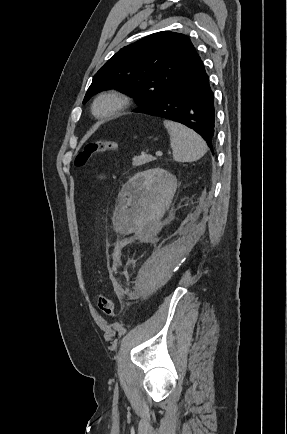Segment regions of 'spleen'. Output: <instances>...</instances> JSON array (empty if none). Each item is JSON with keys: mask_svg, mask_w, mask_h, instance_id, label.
Masks as SVG:
<instances>
[{"mask_svg": "<svg viewBox=\"0 0 287 434\" xmlns=\"http://www.w3.org/2000/svg\"><path fill=\"white\" fill-rule=\"evenodd\" d=\"M170 135L173 159L177 162H191L203 157L207 145L200 135L180 123L165 120Z\"/></svg>", "mask_w": 287, "mask_h": 434, "instance_id": "1", "label": "spleen"}]
</instances>
